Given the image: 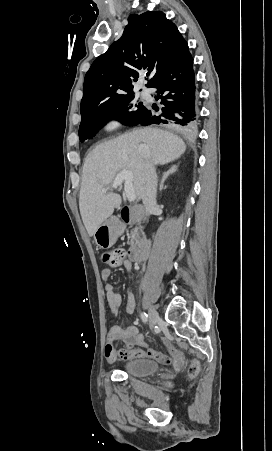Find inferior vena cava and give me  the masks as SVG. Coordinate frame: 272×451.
Returning a JSON list of instances; mask_svg holds the SVG:
<instances>
[{
	"instance_id": "obj_1",
	"label": "inferior vena cava",
	"mask_w": 272,
	"mask_h": 451,
	"mask_svg": "<svg viewBox=\"0 0 272 451\" xmlns=\"http://www.w3.org/2000/svg\"><path fill=\"white\" fill-rule=\"evenodd\" d=\"M147 162L146 184L143 194V204L145 206L146 214H151L156 206V192H157V174L154 164H151V158L146 154L144 156Z\"/></svg>"
}]
</instances>
